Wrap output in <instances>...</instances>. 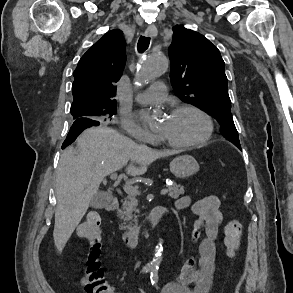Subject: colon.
Listing matches in <instances>:
<instances>
[{"mask_svg": "<svg viewBox=\"0 0 293 293\" xmlns=\"http://www.w3.org/2000/svg\"><path fill=\"white\" fill-rule=\"evenodd\" d=\"M100 222L98 212L91 211L84 217L77 229V237L87 242V250L84 258L81 282L86 293H114L113 287L105 277L100 262ZM224 245L228 257H233L240 246L242 234L241 222L237 219L230 220L224 228Z\"/></svg>", "mask_w": 293, "mask_h": 293, "instance_id": "colon-1", "label": "colon"}]
</instances>
